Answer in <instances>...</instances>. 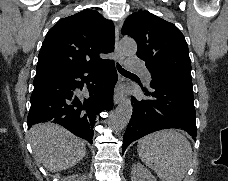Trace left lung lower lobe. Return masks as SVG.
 <instances>
[{"label": "left lung lower lobe", "mask_w": 228, "mask_h": 181, "mask_svg": "<svg viewBox=\"0 0 228 181\" xmlns=\"http://www.w3.org/2000/svg\"><path fill=\"white\" fill-rule=\"evenodd\" d=\"M151 82L143 95L132 96L133 113L123 138L122 153L133 141L158 130L176 128L188 132L196 141V112L192 85L161 73H150ZM132 80L137 81L135 78Z\"/></svg>", "instance_id": "left-lung-lower-lobe-1"}]
</instances>
